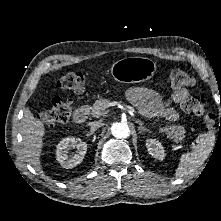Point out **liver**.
I'll use <instances>...</instances> for the list:
<instances>
[{"label":"liver","instance_id":"6515ba94","mask_svg":"<svg viewBox=\"0 0 221 221\" xmlns=\"http://www.w3.org/2000/svg\"><path fill=\"white\" fill-rule=\"evenodd\" d=\"M21 134L23 135V146L28 159L27 161L32 164L37 171L43 173L40 155L43 146L42 137L45 135V127L43 122L36 119L28 108L24 110L23 119L21 121Z\"/></svg>","mask_w":221,"mask_h":221}]
</instances>
